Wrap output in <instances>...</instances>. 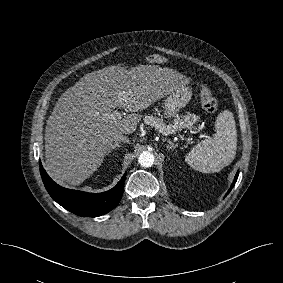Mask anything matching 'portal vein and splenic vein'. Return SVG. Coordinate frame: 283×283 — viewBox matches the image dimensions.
Returning <instances> with one entry per match:
<instances>
[{"label":"portal vein and splenic vein","mask_w":283,"mask_h":283,"mask_svg":"<svg viewBox=\"0 0 283 283\" xmlns=\"http://www.w3.org/2000/svg\"><path fill=\"white\" fill-rule=\"evenodd\" d=\"M108 118L110 119H113V120H118V119H121L122 118V114L115 110V111H112L111 113L107 114ZM167 135V134H165Z\"/></svg>","instance_id":"portal-vein-and-splenic-vein-1"}]
</instances>
